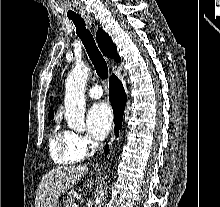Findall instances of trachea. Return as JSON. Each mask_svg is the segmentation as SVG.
Masks as SVG:
<instances>
[{"label": "trachea", "instance_id": "3493384b", "mask_svg": "<svg viewBox=\"0 0 220 207\" xmlns=\"http://www.w3.org/2000/svg\"><path fill=\"white\" fill-rule=\"evenodd\" d=\"M73 21V23L76 26V33L79 36V38L81 39L90 60L92 61L95 70L98 74V76L101 79H107L108 77V67H107V63L103 57V55L101 54V52L99 51L94 37L91 34V32L86 28V24L84 22V20L80 17V16H76V17H71L69 18Z\"/></svg>", "mask_w": 220, "mask_h": 207}]
</instances>
